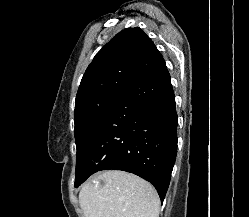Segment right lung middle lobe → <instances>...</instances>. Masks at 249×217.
I'll return each instance as SVG.
<instances>
[{
    "instance_id": "right-lung-middle-lobe-1",
    "label": "right lung middle lobe",
    "mask_w": 249,
    "mask_h": 217,
    "mask_svg": "<svg viewBox=\"0 0 249 217\" xmlns=\"http://www.w3.org/2000/svg\"><path fill=\"white\" fill-rule=\"evenodd\" d=\"M124 95L123 92H106L75 106L76 180L80 176L79 165L92 138Z\"/></svg>"
}]
</instances>
